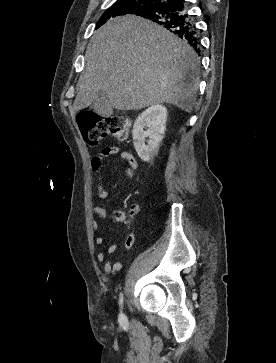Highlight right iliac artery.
Masks as SVG:
<instances>
[{
	"mask_svg": "<svg viewBox=\"0 0 276 363\" xmlns=\"http://www.w3.org/2000/svg\"><path fill=\"white\" fill-rule=\"evenodd\" d=\"M123 301H124V296H123V293H121L120 299H119V305L121 306V308L123 307Z\"/></svg>",
	"mask_w": 276,
	"mask_h": 363,
	"instance_id": "obj_1",
	"label": "right iliac artery"
}]
</instances>
